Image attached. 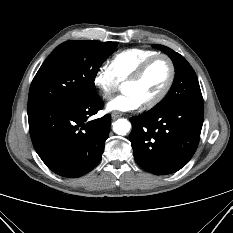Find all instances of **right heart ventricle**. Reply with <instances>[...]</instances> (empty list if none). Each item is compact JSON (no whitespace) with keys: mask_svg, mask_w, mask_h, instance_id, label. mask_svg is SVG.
Instances as JSON below:
<instances>
[{"mask_svg":"<svg viewBox=\"0 0 233 233\" xmlns=\"http://www.w3.org/2000/svg\"><path fill=\"white\" fill-rule=\"evenodd\" d=\"M156 54L158 52L150 49H127L110 59L108 69L119 83L124 82L142 62Z\"/></svg>","mask_w":233,"mask_h":233,"instance_id":"obj_1","label":"right heart ventricle"}]
</instances>
